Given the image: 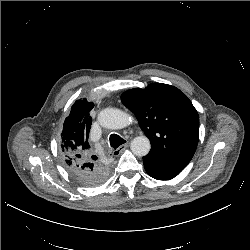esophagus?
<instances>
[{
  "label": "esophagus",
  "mask_w": 250,
  "mask_h": 250,
  "mask_svg": "<svg viewBox=\"0 0 250 250\" xmlns=\"http://www.w3.org/2000/svg\"><path fill=\"white\" fill-rule=\"evenodd\" d=\"M128 144L121 145L118 149L115 150L116 154H120L123 150L127 148Z\"/></svg>",
  "instance_id": "obj_1"
}]
</instances>
